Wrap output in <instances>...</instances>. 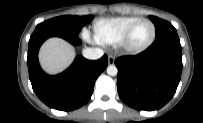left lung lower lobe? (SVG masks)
Instances as JSON below:
<instances>
[{
    "mask_svg": "<svg viewBox=\"0 0 203 123\" xmlns=\"http://www.w3.org/2000/svg\"><path fill=\"white\" fill-rule=\"evenodd\" d=\"M121 99L138 110H157L175 94L182 72L177 32L156 38L144 52L115 60Z\"/></svg>",
    "mask_w": 203,
    "mask_h": 123,
    "instance_id": "1",
    "label": "left lung lower lobe"
}]
</instances>
